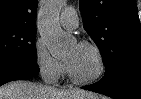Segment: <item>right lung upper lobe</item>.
I'll return each mask as SVG.
<instances>
[{
    "mask_svg": "<svg viewBox=\"0 0 141 99\" xmlns=\"http://www.w3.org/2000/svg\"><path fill=\"white\" fill-rule=\"evenodd\" d=\"M38 0H0V26L36 27Z\"/></svg>",
    "mask_w": 141,
    "mask_h": 99,
    "instance_id": "right-lung-upper-lobe-1",
    "label": "right lung upper lobe"
}]
</instances>
